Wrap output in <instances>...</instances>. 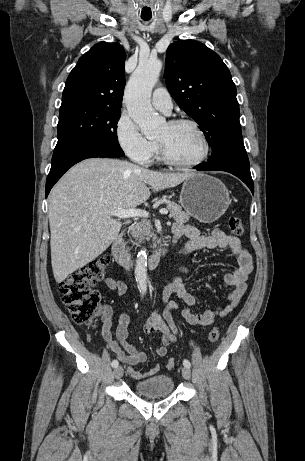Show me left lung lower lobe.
<instances>
[{"mask_svg": "<svg viewBox=\"0 0 305 461\" xmlns=\"http://www.w3.org/2000/svg\"><path fill=\"white\" fill-rule=\"evenodd\" d=\"M198 171H226L240 178L254 194V184L250 173V165L243 144L242 134L231 135L222 156L215 162L201 163L194 167Z\"/></svg>", "mask_w": 305, "mask_h": 461, "instance_id": "obj_1", "label": "left lung lower lobe"}]
</instances>
